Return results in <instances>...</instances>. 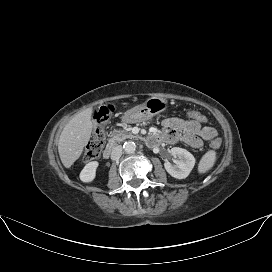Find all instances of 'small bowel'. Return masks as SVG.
I'll return each instance as SVG.
<instances>
[{
  "instance_id": "c3829d8e",
  "label": "small bowel",
  "mask_w": 272,
  "mask_h": 272,
  "mask_svg": "<svg viewBox=\"0 0 272 272\" xmlns=\"http://www.w3.org/2000/svg\"><path fill=\"white\" fill-rule=\"evenodd\" d=\"M163 130L157 136L158 140L169 143L182 141L192 149H199L203 141H212L217 132L211 126H203L200 122L178 117L166 118L162 121Z\"/></svg>"
}]
</instances>
